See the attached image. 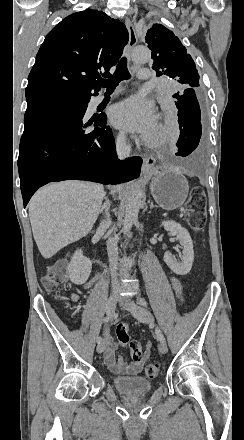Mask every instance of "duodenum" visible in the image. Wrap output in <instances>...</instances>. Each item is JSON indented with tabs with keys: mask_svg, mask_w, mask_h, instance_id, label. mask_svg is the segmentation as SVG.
Instances as JSON below:
<instances>
[{
	"mask_svg": "<svg viewBox=\"0 0 244 440\" xmlns=\"http://www.w3.org/2000/svg\"><path fill=\"white\" fill-rule=\"evenodd\" d=\"M95 261H96V264H97V265H100V264H101V259H100V258H96Z\"/></svg>",
	"mask_w": 244,
	"mask_h": 440,
	"instance_id": "410a0bca",
	"label": "duodenum"
}]
</instances>
